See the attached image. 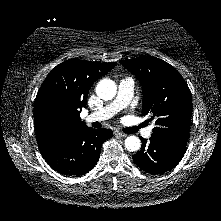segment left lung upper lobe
Instances as JSON below:
<instances>
[{
	"label": "left lung upper lobe",
	"instance_id": "5c2ea615",
	"mask_svg": "<svg viewBox=\"0 0 221 221\" xmlns=\"http://www.w3.org/2000/svg\"><path fill=\"white\" fill-rule=\"evenodd\" d=\"M120 63L140 81L142 114L155 120L152 137L187 146L192 116L191 92L180 73L169 63L141 56Z\"/></svg>",
	"mask_w": 221,
	"mask_h": 221
}]
</instances>
